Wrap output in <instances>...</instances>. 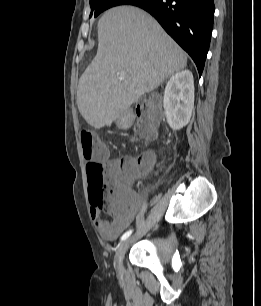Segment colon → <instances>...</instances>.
I'll return each instance as SVG.
<instances>
[{"label":"colon","mask_w":261,"mask_h":306,"mask_svg":"<svg viewBox=\"0 0 261 306\" xmlns=\"http://www.w3.org/2000/svg\"><path fill=\"white\" fill-rule=\"evenodd\" d=\"M133 114L135 117L133 132L136 138L143 141L153 139L159 118L157 99L137 105ZM81 147L83 157L87 161L86 170L91 197L103 200V205L110 210L115 200L128 195L127 189L117 185L119 169L114 164L103 163L106 149L96 143L90 130L85 129L81 132ZM139 166L143 171L142 159L139 161Z\"/></svg>","instance_id":"1"}]
</instances>
